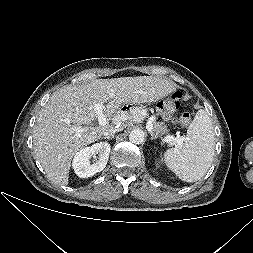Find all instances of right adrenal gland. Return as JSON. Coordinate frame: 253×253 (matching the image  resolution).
<instances>
[{"mask_svg":"<svg viewBox=\"0 0 253 253\" xmlns=\"http://www.w3.org/2000/svg\"><path fill=\"white\" fill-rule=\"evenodd\" d=\"M114 138V135H111L109 137H104V139H113Z\"/></svg>","mask_w":253,"mask_h":253,"instance_id":"obj_1","label":"right adrenal gland"}]
</instances>
